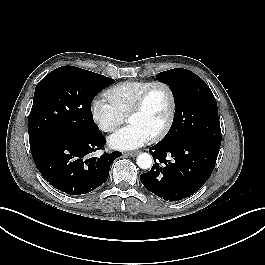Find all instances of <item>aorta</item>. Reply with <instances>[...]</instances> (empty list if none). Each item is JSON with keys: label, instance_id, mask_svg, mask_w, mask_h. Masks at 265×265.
<instances>
[{"label": "aorta", "instance_id": "1", "mask_svg": "<svg viewBox=\"0 0 265 265\" xmlns=\"http://www.w3.org/2000/svg\"><path fill=\"white\" fill-rule=\"evenodd\" d=\"M136 163L141 169H149L153 164V159L148 153H140L136 159Z\"/></svg>", "mask_w": 265, "mask_h": 265}]
</instances>
